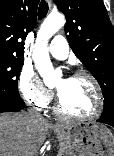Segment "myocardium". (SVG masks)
Masks as SVG:
<instances>
[{
  "instance_id": "f54148a6",
  "label": "myocardium",
  "mask_w": 114,
  "mask_h": 156,
  "mask_svg": "<svg viewBox=\"0 0 114 156\" xmlns=\"http://www.w3.org/2000/svg\"><path fill=\"white\" fill-rule=\"evenodd\" d=\"M70 78H86L92 83L96 94V101H97L96 109L93 113L86 116L71 115L63 109L60 96L59 94H57L56 104H55L56 113L63 118H66L68 120H73V121H90L99 117L104 107V98L98 80L91 73L86 71H77Z\"/></svg>"
}]
</instances>
